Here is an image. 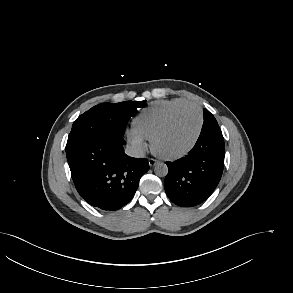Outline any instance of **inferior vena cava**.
<instances>
[{
	"label": "inferior vena cava",
	"mask_w": 293,
	"mask_h": 293,
	"mask_svg": "<svg viewBox=\"0 0 293 293\" xmlns=\"http://www.w3.org/2000/svg\"><path fill=\"white\" fill-rule=\"evenodd\" d=\"M125 153L131 157L142 158L145 156V149L141 145H127Z\"/></svg>",
	"instance_id": "1"
}]
</instances>
